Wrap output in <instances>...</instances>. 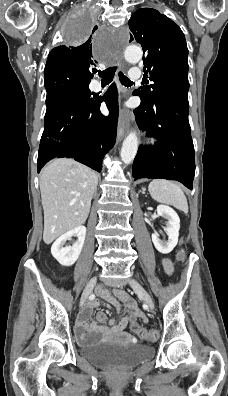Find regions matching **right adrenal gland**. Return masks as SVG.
Wrapping results in <instances>:
<instances>
[{
  "instance_id": "1",
  "label": "right adrenal gland",
  "mask_w": 228,
  "mask_h": 396,
  "mask_svg": "<svg viewBox=\"0 0 228 396\" xmlns=\"http://www.w3.org/2000/svg\"><path fill=\"white\" fill-rule=\"evenodd\" d=\"M95 196H96V192L94 193L93 197H95Z\"/></svg>"
}]
</instances>
